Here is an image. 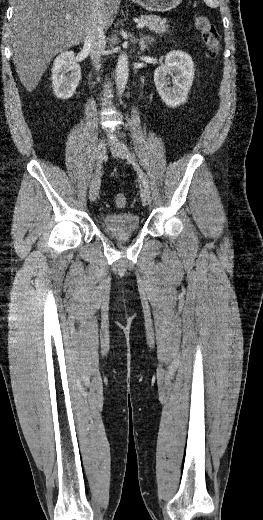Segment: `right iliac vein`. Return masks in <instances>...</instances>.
Returning <instances> with one entry per match:
<instances>
[{
    "label": "right iliac vein",
    "mask_w": 263,
    "mask_h": 520,
    "mask_svg": "<svg viewBox=\"0 0 263 520\" xmlns=\"http://www.w3.org/2000/svg\"><path fill=\"white\" fill-rule=\"evenodd\" d=\"M105 143L101 141L98 144L97 151H96V160H97V166L100 168L102 161L105 157ZM100 188V172L97 170L95 177L93 178L90 190H89V198L91 201H94L97 198L98 192Z\"/></svg>",
    "instance_id": "obj_1"
}]
</instances>
